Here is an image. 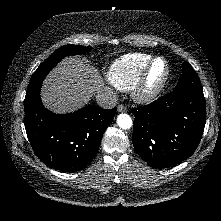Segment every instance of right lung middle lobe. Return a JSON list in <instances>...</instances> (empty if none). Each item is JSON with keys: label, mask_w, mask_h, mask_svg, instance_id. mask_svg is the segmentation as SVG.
Instances as JSON below:
<instances>
[{"label": "right lung middle lobe", "mask_w": 221, "mask_h": 221, "mask_svg": "<svg viewBox=\"0 0 221 221\" xmlns=\"http://www.w3.org/2000/svg\"><path fill=\"white\" fill-rule=\"evenodd\" d=\"M91 49L79 45H64L53 52L33 73L27 92L42 84L46 75L57 65L65 56L88 53Z\"/></svg>", "instance_id": "obj_1"}]
</instances>
